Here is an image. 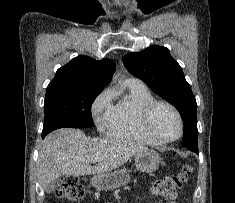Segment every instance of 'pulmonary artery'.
Wrapping results in <instances>:
<instances>
[{
	"instance_id": "pulmonary-artery-1",
	"label": "pulmonary artery",
	"mask_w": 235,
	"mask_h": 203,
	"mask_svg": "<svg viewBox=\"0 0 235 203\" xmlns=\"http://www.w3.org/2000/svg\"><path fill=\"white\" fill-rule=\"evenodd\" d=\"M128 81H132V82L141 83V82H140L138 79H134V78L128 79Z\"/></svg>"
}]
</instances>
